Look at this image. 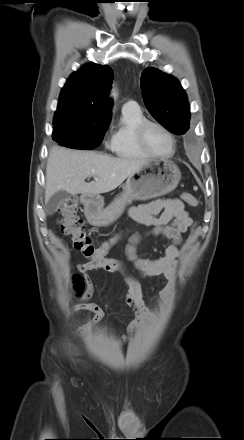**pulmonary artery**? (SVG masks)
<instances>
[{
	"mask_svg": "<svg viewBox=\"0 0 244 440\" xmlns=\"http://www.w3.org/2000/svg\"><path fill=\"white\" fill-rule=\"evenodd\" d=\"M138 104L135 101H127L124 103V105L122 106L123 110H136L138 109Z\"/></svg>",
	"mask_w": 244,
	"mask_h": 440,
	"instance_id": "1",
	"label": "pulmonary artery"
}]
</instances>
